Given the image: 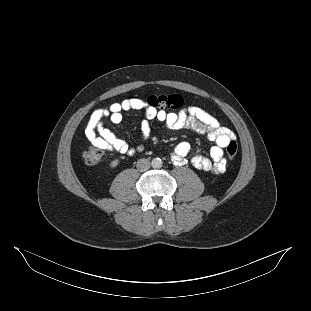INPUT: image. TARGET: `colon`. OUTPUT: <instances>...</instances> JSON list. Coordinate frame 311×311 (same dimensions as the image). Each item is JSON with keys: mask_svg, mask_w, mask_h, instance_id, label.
I'll list each match as a JSON object with an SVG mask.
<instances>
[{"mask_svg": "<svg viewBox=\"0 0 311 311\" xmlns=\"http://www.w3.org/2000/svg\"><path fill=\"white\" fill-rule=\"evenodd\" d=\"M150 107L161 110H176L182 107L183 98L176 94L150 96L145 101ZM237 144L231 141L226 147V153L230 160L237 155ZM103 156V150L98 147L91 148L84 153V160L87 165L97 164Z\"/></svg>", "mask_w": 311, "mask_h": 311, "instance_id": "colon-1", "label": "colon"}]
</instances>
